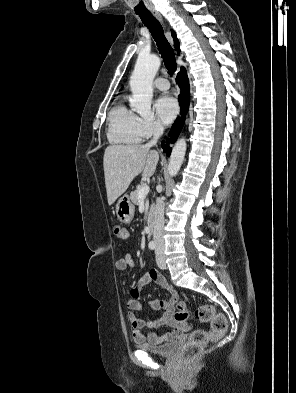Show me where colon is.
Here are the masks:
<instances>
[{
  "mask_svg": "<svg viewBox=\"0 0 296 393\" xmlns=\"http://www.w3.org/2000/svg\"><path fill=\"white\" fill-rule=\"evenodd\" d=\"M114 234L117 238L125 240L128 232L125 227L114 226ZM196 317L202 322L210 323V331L196 330L191 333L188 341L181 351L183 361L190 364L196 359L206 344L213 339L221 337L227 330V320L223 314L219 313L215 305L204 304L196 310ZM172 318L176 322H189L190 315L182 302L176 303L173 308Z\"/></svg>",
  "mask_w": 296,
  "mask_h": 393,
  "instance_id": "1",
  "label": "colon"
}]
</instances>
